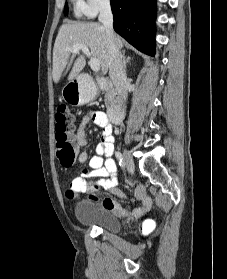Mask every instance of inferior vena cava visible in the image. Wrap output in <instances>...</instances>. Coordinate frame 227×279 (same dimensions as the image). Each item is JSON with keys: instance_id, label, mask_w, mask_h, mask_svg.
Instances as JSON below:
<instances>
[{"instance_id": "602c4592", "label": "inferior vena cava", "mask_w": 227, "mask_h": 279, "mask_svg": "<svg viewBox=\"0 0 227 279\" xmlns=\"http://www.w3.org/2000/svg\"><path fill=\"white\" fill-rule=\"evenodd\" d=\"M98 19L106 31L109 52V75L117 91L119 110L121 111L123 102L127 99L129 82L123 65V58L114 35L113 15L109 0H104L102 2Z\"/></svg>"}]
</instances>
